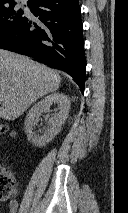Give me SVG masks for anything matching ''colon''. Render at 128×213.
Segmentation results:
<instances>
[{
  "instance_id": "1",
  "label": "colon",
  "mask_w": 128,
  "mask_h": 213,
  "mask_svg": "<svg viewBox=\"0 0 128 213\" xmlns=\"http://www.w3.org/2000/svg\"><path fill=\"white\" fill-rule=\"evenodd\" d=\"M14 133L9 127L0 123V135ZM18 192V183L14 175L8 170H0V201L8 200Z\"/></svg>"
}]
</instances>
